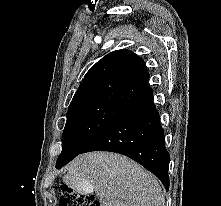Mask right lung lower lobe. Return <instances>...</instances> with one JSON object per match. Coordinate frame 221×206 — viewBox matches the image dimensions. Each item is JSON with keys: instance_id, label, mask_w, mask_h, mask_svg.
Masks as SVG:
<instances>
[{"instance_id": "98d812e1", "label": "right lung lower lobe", "mask_w": 221, "mask_h": 206, "mask_svg": "<svg viewBox=\"0 0 221 206\" xmlns=\"http://www.w3.org/2000/svg\"><path fill=\"white\" fill-rule=\"evenodd\" d=\"M152 96L151 91L128 106L80 153L111 151L128 156L156 175L168 191L170 156L165 148L164 132Z\"/></svg>"}]
</instances>
